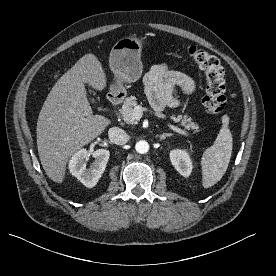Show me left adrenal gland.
<instances>
[{
  "label": "left adrenal gland",
  "instance_id": "obj_1",
  "mask_svg": "<svg viewBox=\"0 0 276 276\" xmlns=\"http://www.w3.org/2000/svg\"><path fill=\"white\" fill-rule=\"evenodd\" d=\"M171 136H173L171 133H163L162 135L159 136V139L160 141H162V140H165L166 137H171Z\"/></svg>",
  "mask_w": 276,
  "mask_h": 276
}]
</instances>
